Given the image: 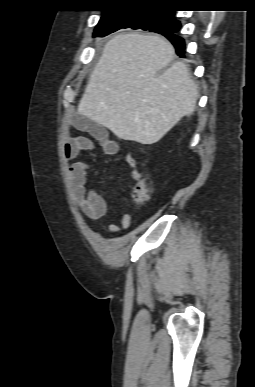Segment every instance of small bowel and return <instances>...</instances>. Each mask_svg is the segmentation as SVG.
<instances>
[{"label": "small bowel", "mask_w": 255, "mask_h": 387, "mask_svg": "<svg viewBox=\"0 0 255 387\" xmlns=\"http://www.w3.org/2000/svg\"><path fill=\"white\" fill-rule=\"evenodd\" d=\"M68 127L90 134L100 142L104 153L108 155H115L120 150V142L111 139L104 127L88 117L76 115L69 120ZM91 148L92 142L88 137L74 136L69 133L64 143V154L66 159L74 160L82 151L90 150ZM125 161L130 167V179L138 181L141 174L138 170L136 159L130 153H126ZM89 167V163L85 161H76L71 164L69 168L70 192L74 202L81 208L82 212L88 218L95 220L106 215L108 205L100 193L94 189L87 188V173ZM120 217V226L112 224L107 227L102 226V229L109 234L128 229L131 223L130 216L127 213H121Z\"/></svg>", "instance_id": "obj_1"}]
</instances>
